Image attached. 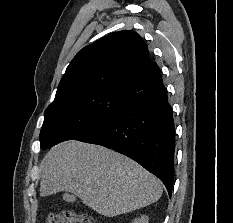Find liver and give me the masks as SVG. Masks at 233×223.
I'll return each mask as SVG.
<instances>
[{"label":"liver","instance_id":"6515ba94","mask_svg":"<svg viewBox=\"0 0 233 223\" xmlns=\"http://www.w3.org/2000/svg\"><path fill=\"white\" fill-rule=\"evenodd\" d=\"M39 173V195L70 191L106 217L150 205L163 191L159 179L133 159L82 141H63L51 147Z\"/></svg>","mask_w":233,"mask_h":223}]
</instances>
